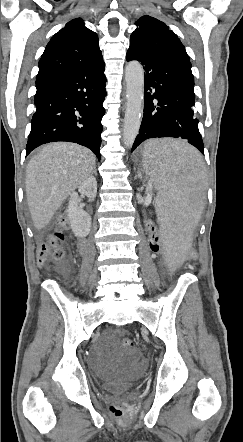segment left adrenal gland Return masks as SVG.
Here are the masks:
<instances>
[{
    "instance_id": "a2214340",
    "label": "left adrenal gland",
    "mask_w": 243,
    "mask_h": 442,
    "mask_svg": "<svg viewBox=\"0 0 243 442\" xmlns=\"http://www.w3.org/2000/svg\"><path fill=\"white\" fill-rule=\"evenodd\" d=\"M140 176H141V172H138L136 177H140Z\"/></svg>"
}]
</instances>
